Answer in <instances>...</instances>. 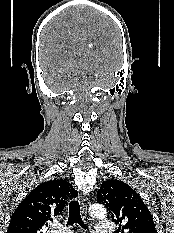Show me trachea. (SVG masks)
Segmentation results:
<instances>
[{
  "mask_svg": "<svg viewBox=\"0 0 174 233\" xmlns=\"http://www.w3.org/2000/svg\"><path fill=\"white\" fill-rule=\"evenodd\" d=\"M78 223L81 227L88 229V226L83 222L80 215V205L77 200H73L69 203V217L67 225H73Z\"/></svg>",
  "mask_w": 174,
  "mask_h": 233,
  "instance_id": "trachea-1",
  "label": "trachea"
}]
</instances>
